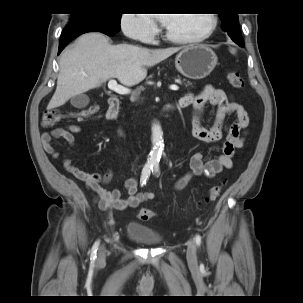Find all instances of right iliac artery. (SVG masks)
I'll list each match as a JSON object with an SVG mask.
<instances>
[{"label":"right iliac artery","mask_w":303,"mask_h":303,"mask_svg":"<svg viewBox=\"0 0 303 303\" xmlns=\"http://www.w3.org/2000/svg\"><path fill=\"white\" fill-rule=\"evenodd\" d=\"M151 169H152V166L151 165H145L143 170H142V174H141V178H140V183H141V186H143L144 184H146V181L148 180L149 176H150V173H151ZM99 243L100 241L97 240L93 247H92V251H91V260H95L96 257H97V250H98V247H99Z\"/></svg>","instance_id":"82829eb1"}]
</instances>
